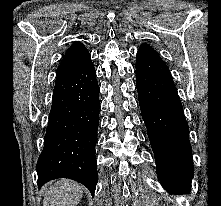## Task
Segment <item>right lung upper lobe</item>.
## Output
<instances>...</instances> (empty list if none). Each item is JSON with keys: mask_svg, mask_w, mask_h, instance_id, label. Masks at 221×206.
I'll list each match as a JSON object with an SVG mask.
<instances>
[{"mask_svg": "<svg viewBox=\"0 0 221 206\" xmlns=\"http://www.w3.org/2000/svg\"><path fill=\"white\" fill-rule=\"evenodd\" d=\"M91 62V56L85 45L80 42H74L66 51L61 64L57 68L56 80L62 79Z\"/></svg>", "mask_w": 221, "mask_h": 206, "instance_id": "obj_1", "label": "right lung upper lobe"}]
</instances>
